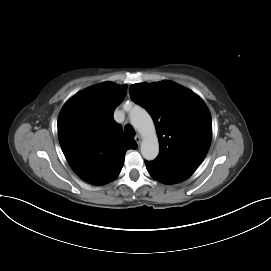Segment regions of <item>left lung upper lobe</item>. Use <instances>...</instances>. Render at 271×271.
<instances>
[{
    "label": "left lung upper lobe",
    "mask_w": 271,
    "mask_h": 271,
    "mask_svg": "<svg viewBox=\"0 0 271 271\" xmlns=\"http://www.w3.org/2000/svg\"><path fill=\"white\" fill-rule=\"evenodd\" d=\"M134 102L151 114L160 143L156 160L196 170L212 138V121L203 100L172 81L130 86Z\"/></svg>",
    "instance_id": "1"
}]
</instances>
